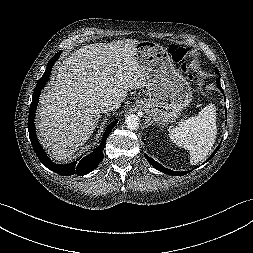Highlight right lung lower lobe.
I'll use <instances>...</instances> for the list:
<instances>
[{
    "label": "right lung lower lobe",
    "instance_id": "right-lung-lower-lobe-1",
    "mask_svg": "<svg viewBox=\"0 0 253 253\" xmlns=\"http://www.w3.org/2000/svg\"><path fill=\"white\" fill-rule=\"evenodd\" d=\"M61 52H58L54 57L50 59V61L47 64L46 71L43 74V76L39 79L36 88L33 93L32 103L29 110V117H28V131H29V137L33 146V149L39 158V160L50 170L56 172L57 174L61 176H70L73 174H77L79 176L87 174L94 170L98 164L103 159V149L105 147V142L110 134L113 127L116 125L117 120L113 121L111 124L108 125L106 128V131L104 132L102 141L100 145L94 150L93 153L87 155L85 158H83L79 163L77 161H74L70 164L66 165H60L53 163L48 156L45 154L42 146L40 145L36 133H35V124H34V118H35V110L38 105V99L41 93V89L45 86L47 80L49 79V75L51 73L52 66L54 62L58 59Z\"/></svg>",
    "mask_w": 253,
    "mask_h": 253
}]
</instances>
